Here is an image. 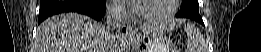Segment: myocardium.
<instances>
[{"label":"myocardium","mask_w":261,"mask_h":52,"mask_svg":"<svg viewBox=\"0 0 261 52\" xmlns=\"http://www.w3.org/2000/svg\"><path fill=\"white\" fill-rule=\"evenodd\" d=\"M136 2H138V1L130 2V7H131L133 16L138 21L151 23V24H159V23H163V22H166L167 20H169L176 13L177 4L179 3L178 0H170L169 7L164 13H162L160 15H156V16H145L138 12Z\"/></svg>","instance_id":"f54148a6"}]
</instances>
